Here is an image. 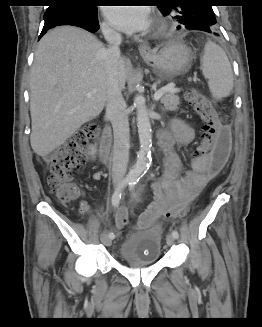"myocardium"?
Instances as JSON below:
<instances>
[{
    "label": "myocardium",
    "instance_id": "1",
    "mask_svg": "<svg viewBox=\"0 0 262 327\" xmlns=\"http://www.w3.org/2000/svg\"><path fill=\"white\" fill-rule=\"evenodd\" d=\"M154 30H155V31H158V30H159V27H158V26H156Z\"/></svg>",
    "mask_w": 262,
    "mask_h": 327
}]
</instances>
